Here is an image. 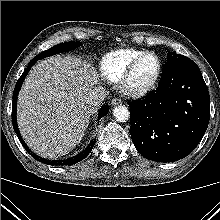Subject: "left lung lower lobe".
I'll list each match as a JSON object with an SVG mask.
<instances>
[{
    "label": "left lung lower lobe",
    "mask_w": 220,
    "mask_h": 220,
    "mask_svg": "<svg viewBox=\"0 0 220 220\" xmlns=\"http://www.w3.org/2000/svg\"><path fill=\"white\" fill-rule=\"evenodd\" d=\"M131 138L137 151L157 162L189 155L206 132L210 97L197 64L168 61L158 88L129 103Z\"/></svg>",
    "instance_id": "1"
}]
</instances>
